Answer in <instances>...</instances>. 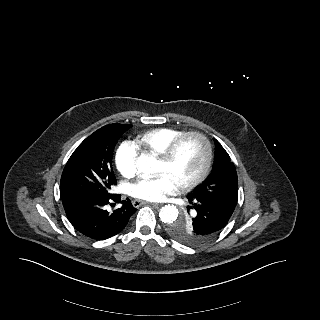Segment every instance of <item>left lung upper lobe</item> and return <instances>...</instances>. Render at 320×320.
<instances>
[{
    "label": "left lung upper lobe",
    "instance_id": "obj_1",
    "mask_svg": "<svg viewBox=\"0 0 320 320\" xmlns=\"http://www.w3.org/2000/svg\"><path fill=\"white\" fill-rule=\"evenodd\" d=\"M215 159L210 176L200 184L189 196H201L216 201L229 210L234 211L238 199V178L236 168L228 153L215 141ZM190 203V202H189ZM191 204V203H190ZM188 214L178 218L168 226L169 234L177 241L195 245L203 242L198 235L199 213L191 204L187 207Z\"/></svg>",
    "mask_w": 320,
    "mask_h": 320
}]
</instances>
